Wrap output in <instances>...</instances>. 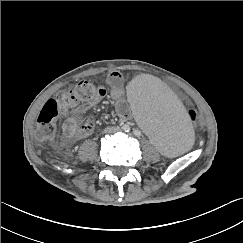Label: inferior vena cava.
I'll list each match as a JSON object with an SVG mask.
<instances>
[{
	"instance_id": "602c4592",
	"label": "inferior vena cava",
	"mask_w": 243,
	"mask_h": 243,
	"mask_svg": "<svg viewBox=\"0 0 243 243\" xmlns=\"http://www.w3.org/2000/svg\"><path fill=\"white\" fill-rule=\"evenodd\" d=\"M118 129L117 128H113L111 131H109L110 133L111 132H116Z\"/></svg>"
}]
</instances>
